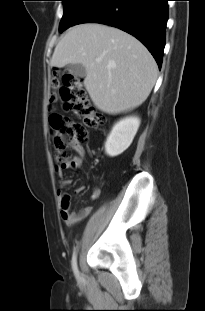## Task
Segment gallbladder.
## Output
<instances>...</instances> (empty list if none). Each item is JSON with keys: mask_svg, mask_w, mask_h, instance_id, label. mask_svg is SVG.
<instances>
[{"mask_svg": "<svg viewBox=\"0 0 205 311\" xmlns=\"http://www.w3.org/2000/svg\"><path fill=\"white\" fill-rule=\"evenodd\" d=\"M66 70L77 77H84L86 75V68L82 64H69Z\"/></svg>", "mask_w": 205, "mask_h": 311, "instance_id": "bac80fb5", "label": "gallbladder"}]
</instances>
